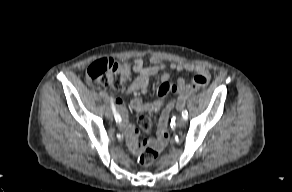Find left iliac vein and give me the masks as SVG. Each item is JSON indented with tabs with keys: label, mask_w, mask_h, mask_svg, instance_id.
<instances>
[{
	"label": "left iliac vein",
	"mask_w": 292,
	"mask_h": 192,
	"mask_svg": "<svg viewBox=\"0 0 292 192\" xmlns=\"http://www.w3.org/2000/svg\"><path fill=\"white\" fill-rule=\"evenodd\" d=\"M184 124H185V119H184L183 117H179V118H177V120H176V125H177L178 127H182Z\"/></svg>",
	"instance_id": "4c4485c4"
}]
</instances>
